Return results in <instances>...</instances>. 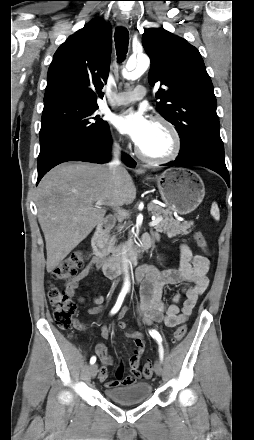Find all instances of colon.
<instances>
[{
    "label": "colon",
    "instance_id": "1",
    "mask_svg": "<svg viewBox=\"0 0 254 440\" xmlns=\"http://www.w3.org/2000/svg\"><path fill=\"white\" fill-rule=\"evenodd\" d=\"M194 240L198 247L204 252H208V243L205 236L197 231L194 233ZM86 255L83 251H75L69 255L65 260L56 265L51 271L54 279L65 280L73 277L77 271L83 266ZM48 297L50 306L53 312L54 322L58 328L62 330H70L74 325V314L76 312V305L70 299V296L58 288L51 286L48 290ZM187 327L180 325L173 333V342H180L186 335ZM145 377L149 378L153 374V369L150 364H146L143 369Z\"/></svg>",
    "mask_w": 254,
    "mask_h": 440
}]
</instances>
